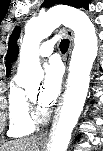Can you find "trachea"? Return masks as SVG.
I'll use <instances>...</instances> for the list:
<instances>
[{"instance_id":"trachea-1","label":"trachea","mask_w":103,"mask_h":151,"mask_svg":"<svg viewBox=\"0 0 103 151\" xmlns=\"http://www.w3.org/2000/svg\"><path fill=\"white\" fill-rule=\"evenodd\" d=\"M68 46H69V40L68 39H64L60 43V50L62 52H66V50L68 49Z\"/></svg>"}]
</instances>
